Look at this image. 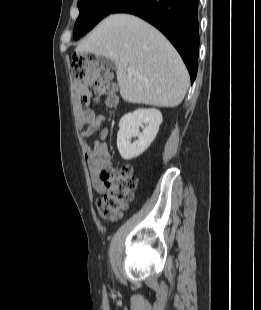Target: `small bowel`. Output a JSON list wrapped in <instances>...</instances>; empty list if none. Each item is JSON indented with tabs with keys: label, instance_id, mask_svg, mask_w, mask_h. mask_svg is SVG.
I'll use <instances>...</instances> for the list:
<instances>
[{
	"label": "small bowel",
	"instance_id": "small-bowel-1",
	"mask_svg": "<svg viewBox=\"0 0 261 310\" xmlns=\"http://www.w3.org/2000/svg\"><path fill=\"white\" fill-rule=\"evenodd\" d=\"M75 95L85 105L91 102L92 93L85 85L77 84L75 86ZM103 120V115L96 114L93 110L84 108L81 104L78 105L77 123L81 130L83 152L87 161L92 187L97 193H103L106 190L101 180V174L111 167L109 146L104 142L109 131L105 128L100 132L99 137L102 141L94 140L89 143L87 139L100 128Z\"/></svg>",
	"mask_w": 261,
	"mask_h": 310
}]
</instances>
